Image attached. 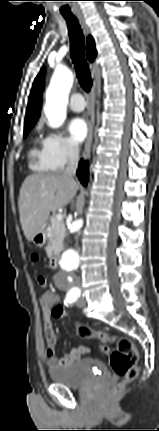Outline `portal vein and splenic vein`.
<instances>
[{"label": "portal vein and splenic vein", "instance_id": "18ae733b", "mask_svg": "<svg viewBox=\"0 0 159 431\" xmlns=\"http://www.w3.org/2000/svg\"><path fill=\"white\" fill-rule=\"evenodd\" d=\"M55 220L58 221V222L62 221L63 220L62 214H57L56 217H55Z\"/></svg>", "mask_w": 159, "mask_h": 431}]
</instances>
